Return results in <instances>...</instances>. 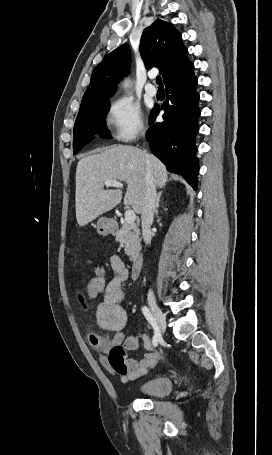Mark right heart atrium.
<instances>
[{
	"mask_svg": "<svg viewBox=\"0 0 272 455\" xmlns=\"http://www.w3.org/2000/svg\"><path fill=\"white\" fill-rule=\"evenodd\" d=\"M108 122L114 139L130 142L145 131L142 111L131 98L122 96L114 99L108 106Z\"/></svg>",
	"mask_w": 272,
	"mask_h": 455,
	"instance_id": "d8ad5b80",
	"label": "right heart atrium"
}]
</instances>
